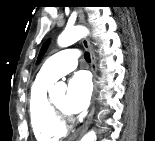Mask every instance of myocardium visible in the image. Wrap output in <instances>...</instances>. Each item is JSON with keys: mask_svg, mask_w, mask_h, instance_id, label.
Segmentation results:
<instances>
[{"mask_svg": "<svg viewBox=\"0 0 155 141\" xmlns=\"http://www.w3.org/2000/svg\"><path fill=\"white\" fill-rule=\"evenodd\" d=\"M48 103L55 122L61 127H67L72 121L71 117L65 111L59 109L52 99L49 98Z\"/></svg>", "mask_w": 155, "mask_h": 141, "instance_id": "myocardium-1", "label": "myocardium"}]
</instances>
